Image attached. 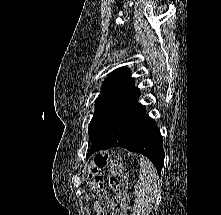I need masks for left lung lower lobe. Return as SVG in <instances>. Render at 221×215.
Listing matches in <instances>:
<instances>
[{
	"mask_svg": "<svg viewBox=\"0 0 221 215\" xmlns=\"http://www.w3.org/2000/svg\"><path fill=\"white\" fill-rule=\"evenodd\" d=\"M112 147H123L139 152L156 166L160 176L164 164V151L160 131L146 114L145 106L136 102L119 116L93 141L87 158L94 152Z\"/></svg>",
	"mask_w": 221,
	"mask_h": 215,
	"instance_id": "1",
	"label": "left lung lower lobe"
}]
</instances>
